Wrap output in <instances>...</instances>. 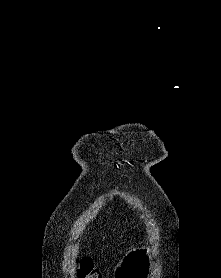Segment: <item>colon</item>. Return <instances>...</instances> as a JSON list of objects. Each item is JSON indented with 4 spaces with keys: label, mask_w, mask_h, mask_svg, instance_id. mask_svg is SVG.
Wrapping results in <instances>:
<instances>
[{
    "label": "colon",
    "mask_w": 221,
    "mask_h": 278,
    "mask_svg": "<svg viewBox=\"0 0 221 278\" xmlns=\"http://www.w3.org/2000/svg\"><path fill=\"white\" fill-rule=\"evenodd\" d=\"M76 273L78 278H103L101 272L94 267L89 258L76 260Z\"/></svg>",
    "instance_id": "5ec220e1"
}]
</instances>
